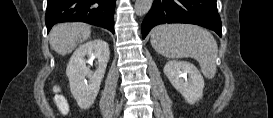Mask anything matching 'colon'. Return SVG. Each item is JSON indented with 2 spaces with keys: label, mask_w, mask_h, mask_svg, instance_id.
<instances>
[{
  "label": "colon",
  "mask_w": 273,
  "mask_h": 118,
  "mask_svg": "<svg viewBox=\"0 0 273 118\" xmlns=\"http://www.w3.org/2000/svg\"><path fill=\"white\" fill-rule=\"evenodd\" d=\"M54 101L56 103V105L58 106L59 110L62 112V113H66L67 110H68V105H67V102L65 100V98L61 95H57L55 98H54Z\"/></svg>",
  "instance_id": "obj_1"
}]
</instances>
